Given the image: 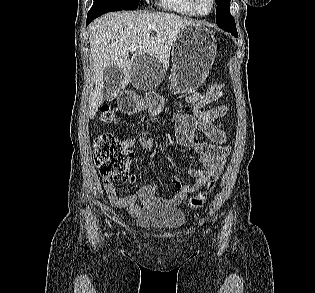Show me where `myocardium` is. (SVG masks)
Returning a JSON list of instances; mask_svg holds the SVG:
<instances>
[{
	"mask_svg": "<svg viewBox=\"0 0 315 293\" xmlns=\"http://www.w3.org/2000/svg\"><path fill=\"white\" fill-rule=\"evenodd\" d=\"M210 1H211L210 10L208 12L204 13V12H201L199 7H198V0H190L193 10L195 11V13L198 16H208L209 14H211L213 12V10L215 9L216 2H215V0H210Z\"/></svg>",
	"mask_w": 315,
	"mask_h": 293,
	"instance_id": "1",
	"label": "myocardium"
}]
</instances>
